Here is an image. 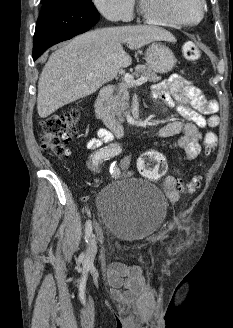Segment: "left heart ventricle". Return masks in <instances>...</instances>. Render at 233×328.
<instances>
[{"mask_svg": "<svg viewBox=\"0 0 233 328\" xmlns=\"http://www.w3.org/2000/svg\"><path fill=\"white\" fill-rule=\"evenodd\" d=\"M156 1L160 11L185 22L196 21L201 13L200 0H151Z\"/></svg>", "mask_w": 233, "mask_h": 328, "instance_id": "1", "label": "left heart ventricle"}]
</instances>
